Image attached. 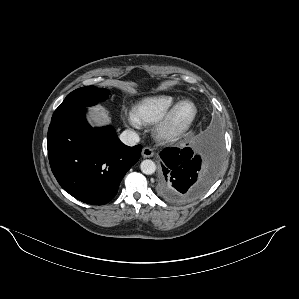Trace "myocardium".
<instances>
[{"instance_id":"obj_1","label":"myocardium","mask_w":299,"mask_h":299,"mask_svg":"<svg viewBox=\"0 0 299 299\" xmlns=\"http://www.w3.org/2000/svg\"><path fill=\"white\" fill-rule=\"evenodd\" d=\"M190 107L192 112L184 123L177 121L178 112ZM197 116V107L190 100H183L175 104L158 122L155 127V135L159 140L170 141L184 134L194 123Z\"/></svg>"}]
</instances>
